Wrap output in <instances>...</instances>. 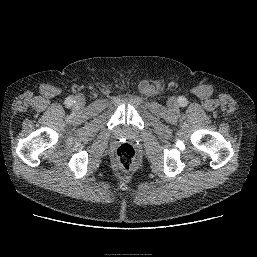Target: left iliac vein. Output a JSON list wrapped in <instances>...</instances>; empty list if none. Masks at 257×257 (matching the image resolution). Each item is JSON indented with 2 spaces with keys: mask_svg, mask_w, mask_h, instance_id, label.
I'll list each match as a JSON object with an SVG mask.
<instances>
[{
  "mask_svg": "<svg viewBox=\"0 0 257 257\" xmlns=\"http://www.w3.org/2000/svg\"><path fill=\"white\" fill-rule=\"evenodd\" d=\"M167 105L170 109H175L178 106L177 99L175 97L169 98Z\"/></svg>",
  "mask_w": 257,
  "mask_h": 257,
  "instance_id": "left-iliac-vein-1",
  "label": "left iliac vein"
}]
</instances>
